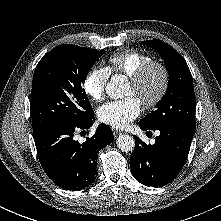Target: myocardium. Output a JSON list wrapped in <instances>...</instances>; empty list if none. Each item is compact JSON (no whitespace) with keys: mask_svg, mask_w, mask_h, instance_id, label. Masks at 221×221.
Returning a JSON list of instances; mask_svg holds the SVG:
<instances>
[{"mask_svg":"<svg viewBox=\"0 0 221 221\" xmlns=\"http://www.w3.org/2000/svg\"><path fill=\"white\" fill-rule=\"evenodd\" d=\"M154 70H159L162 76L161 84L158 91L148 98H143L141 103L147 108H153L160 103V101L166 95L170 86V72L168 67L159 61H151L142 66L132 77H130V83L136 88H142L151 73Z\"/></svg>","mask_w":221,"mask_h":221,"instance_id":"f54148a6","label":"myocardium"}]
</instances>
